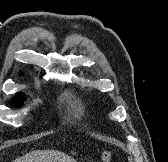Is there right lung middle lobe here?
Listing matches in <instances>:
<instances>
[{
    "instance_id": "dd1d6c3e",
    "label": "right lung middle lobe",
    "mask_w": 168,
    "mask_h": 162,
    "mask_svg": "<svg viewBox=\"0 0 168 162\" xmlns=\"http://www.w3.org/2000/svg\"><path fill=\"white\" fill-rule=\"evenodd\" d=\"M14 101H11L14 106H19L22 104V94L17 95L13 98Z\"/></svg>"
}]
</instances>
